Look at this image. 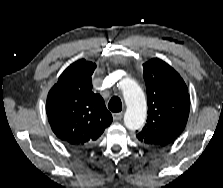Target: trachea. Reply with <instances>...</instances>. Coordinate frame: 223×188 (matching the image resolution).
I'll return each instance as SVG.
<instances>
[{
    "label": "trachea",
    "mask_w": 223,
    "mask_h": 188,
    "mask_svg": "<svg viewBox=\"0 0 223 188\" xmlns=\"http://www.w3.org/2000/svg\"><path fill=\"white\" fill-rule=\"evenodd\" d=\"M108 108L112 112H120L122 110V102L120 98L113 97L108 103Z\"/></svg>",
    "instance_id": "obj_1"
}]
</instances>
